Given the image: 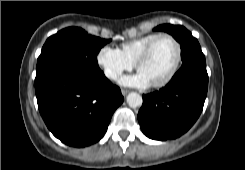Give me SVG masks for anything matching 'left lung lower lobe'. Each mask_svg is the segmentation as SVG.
Here are the masks:
<instances>
[{"mask_svg": "<svg viewBox=\"0 0 245 170\" xmlns=\"http://www.w3.org/2000/svg\"><path fill=\"white\" fill-rule=\"evenodd\" d=\"M207 89L206 66L182 65L164 88L143 95L138 113L142 132L161 141L180 137L200 116Z\"/></svg>", "mask_w": 245, "mask_h": 170, "instance_id": "obj_1", "label": "left lung lower lobe"}]
</instances>
